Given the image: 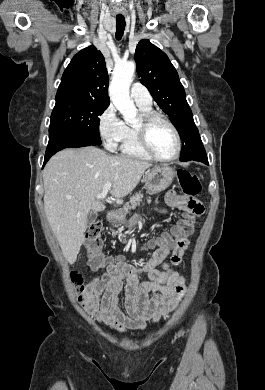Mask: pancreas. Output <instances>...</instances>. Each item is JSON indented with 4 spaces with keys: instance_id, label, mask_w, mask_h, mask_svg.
Segmentation results:
<instances>
[{
    "instance_id": "pancreas-1",
    "label": "pancreas",
    "mask_w": 265,
    "mask_h": 390,
    "mask_svg": "<svg viewBox=\"0 0 265 390\" xmlns=\"http://www.w3.org/2000/svg\"><path fill=\"white\" fill-rule=\"evenodd\" d=\"M142 197H143V195L140 193L132 196L130 198L131 206L127 205L126 207H124L121 211V215L126 216L129 212V209H134L137 205H139L141 200H142Z\"/></svg>"
}]
</instances>
